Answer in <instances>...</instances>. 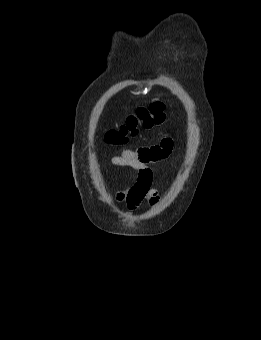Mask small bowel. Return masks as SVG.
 Returning a JSON list of instances; mask_svg holds the SVG:
<instances>
[{"label": "small bowel", "mask_w": 261, "mask_h": 340, "mask_svg": "<svg viewBox=\"0 0 261 340\" xmlns=\"http://www.w3.org/2000/svg\"><path fill=\"white\" fill-rule=\"evenodd\" d=\"M174 147L173 139L164 137L158 144L139 147L137 149H124L120 154L111 158V163L116 166L130 167L137 170L138 177L134 185L116 192L115 200L124 203L126 207L135 211L143 202L155 205L160 195L151 187L153 172L152 163L167 158Z\"/></svg>", "instance_id": "1"}]
</instances>
